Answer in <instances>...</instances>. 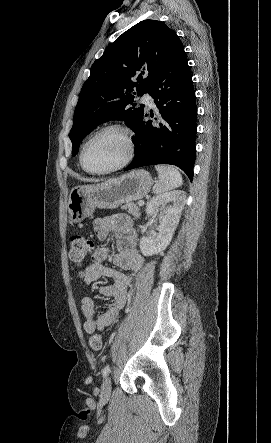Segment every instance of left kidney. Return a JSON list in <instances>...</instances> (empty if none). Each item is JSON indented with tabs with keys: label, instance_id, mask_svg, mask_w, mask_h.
Segmentation results:
<instances>
[{
	"label": "left kidney",
	"instance_id": "5707ae66",
	"mask_svg": "<svg viewBox=\"0 0 271 443\" xmlns=\"http://www.w3.org/2000/svg\"><path fill=\"white\" fill-rule=\"evenodd\" d=\"M185 192L174 190V192H166L157 198H152L147 204V216H158L160 220L159 233L152 237H141L140 251L143 255H154L166 249L169 245L174 229L185 204Z\"/></svg>",
	"mask_w": 271,
	"mask_h": 443
}]
</instances>
